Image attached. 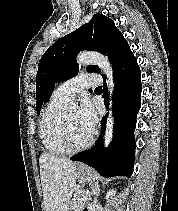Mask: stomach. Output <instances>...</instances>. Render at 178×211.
I'll return each mask as SVG.
<instances>
[{"instance_id":"stomach-1","label":"stomach","mask_w":178,"mask_h":211,"mask_svg":"<svg viewBox=\"0 0 178 211\" xmlns=\"http://www.w3.org/2000/svg\"><path fill=\"white\" fill-rule=\"evenodd\" d=\"M78 175L81 181L83 182L85 181L91 182L95 178L94 172L90 168H87V167L80 169Z\"/></svg>"}]
</instances>
